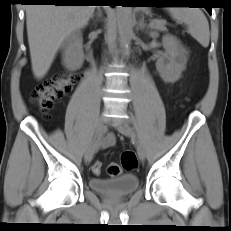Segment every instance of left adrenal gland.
Wrapping results in <instances>:
<instances>
[{
    "mask_svg": "<svg viewBox=\"0 0 231 231\" xmlns=\"http://www.w3.org/2000/svg\"><path fill=\"white\" fill-rule=\"evenodd\" d=\"M139 29L140 30H146V32L151 35L150 31H149V28L146 26V24L144 23V19H140L139 20Z\"/></svg>",
    "mask_w": 231,
    "mask_h": 231,
    "instance_id": "left-adrenal-gland-1",
    "label": "left adrenal gland"
}]
</instances>
